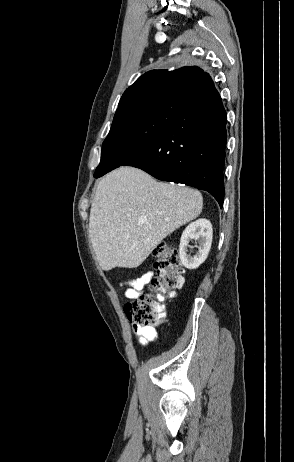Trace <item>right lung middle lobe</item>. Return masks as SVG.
I'll return each mask as SVG.
<instances>
[{
  "mask_svg": "<svg viewBox=\"0 0 294 462\" xmlns=\"http://www.w3.org/2000/svg\"><path fill=\"white\" fill-rule=\"evenodd\" d=\"M186 103L182 94L170 93L116 112L94 176L123 165L141 146L164 130Z\"/></svg>",
  "mask_w": 294,
  "mask_h": 462,
  "instance_id": "obj_1",
  "label": "right lung middle lobe"
}]
</instances>
